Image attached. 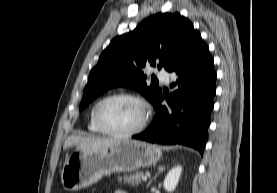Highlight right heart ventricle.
Returning <instances> with one entry per match:
<instances>
[{"instance_id":"e07e8e85","label":"right heart ventricle","mask_w":277,"mask_h":193,"mask_svg":"<svg viewBox=\"0 0 277 193\" xmlns=\"http://www.w3.org/2000/svg\"><path fill=\"white\" fill-rule=\"evenodd\" d=\"M95 106V105H94ZM94 106L91 108L90 113H89V118H88V123H87V129L91 133L99 134L101 133L100 130L96 127L94 121H93V109Z\"/></svg>"}]
</instances>
